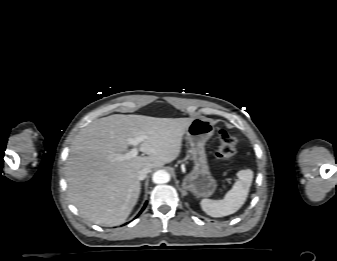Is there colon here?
Segmentation results:
<instances>
[{
    "label": "colon",
    "instance_id": "5ec220e1",
    "mask_svg": "<svg viewBox=\"0 0 337 261\" xmlns=\"http://www.w3.org/2000/svg\"><path fill=\"white\" fill-rule=\"evenodd\" d=\"M236 138L225 130L219 133V146L216 151V158L219 161H228L236 153Z\"/></svg>",
    "mask_w": 337,
    "mask_h": 261
}]
</instances>
